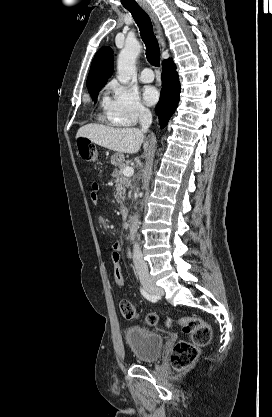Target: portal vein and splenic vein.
I'll list each match as a JSON object with an SVG mask.
<instances>
[{
    "label": "portal vein and splenic vein",
    "mask_w": 272,
    "mask_h": 417,
    "mask_svg": "<svg viewBox=\"0 0 272 417\" xmlns=\"http://www.w3.org/2000/svg\"><path fill=\"white\" fill-rule=\"evenodd\" d=\"M123 174L125 175V176H132L133 174H134V169L132 168V167H126V168H124V170H123Z\"/></svg>",
    "instance_id": "obj_1"
}]
</instances>
